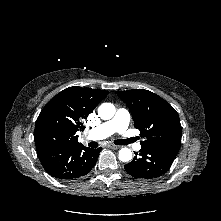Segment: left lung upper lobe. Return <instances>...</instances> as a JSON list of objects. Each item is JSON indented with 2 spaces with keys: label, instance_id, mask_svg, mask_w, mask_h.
Returning a JSON list of instances; mask_svg holds the SVG:
<instances>
[{
  "label": "left lung upper lobe",
  "instance_id": "1",
  "mask_svg": "<svg viewBox=\"0 0 221 221\" xmlns=\"http://www.w3.org/2000/svg\"><path fill=\"white\" fill-rule=\"evenodd\" d=\"M116 93L130 109L135 128L145 137L141 145L178 153L182 128L177 112L168 102L144 89Z\"/></svg>",
  "mask_w": 221,
  "mask_h": 221
}]
</instances>
